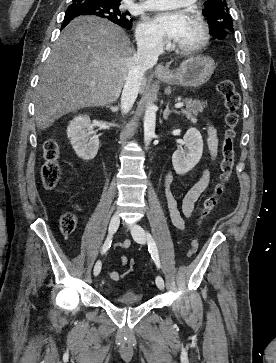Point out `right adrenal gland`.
Segmentation results:
<instances>
[{
    "label": "right adrenal gland",
    "instance_id": "obj_1",
    "mask_svg": "<svg viewBox=\"0 0 276 363\" xmlns=\"http://www.w3.org/2000/svg\"><path fill=\"white\" fill-rule=\"evenodd\" d=\"M107 108H110V110L114 113H117L119 111V107L117 106H107Z\"/></svg>",
    "mask_w": 276,
    "mask_h": 363
}]
</instances>
